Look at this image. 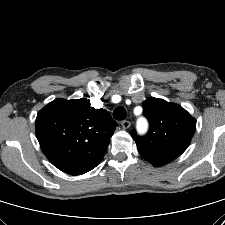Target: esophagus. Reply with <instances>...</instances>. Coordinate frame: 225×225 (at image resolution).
<instances>
[{"mask_svg": "<svg viewBox=\"0 0 225 225\" xmlns=\"http://www.w3.org/2000/svg\"><path fill=\"white\" fill-rule=\"evenodd\" d=\"M121 125H122V128L123 129H128L131 126V122L130 121H127V120H123L121 122Z\"/></svg>", "mask_w": 225, "mask_h": 225, "instance_id": "34e87169", "label": "esophagus"}]
</instances>
